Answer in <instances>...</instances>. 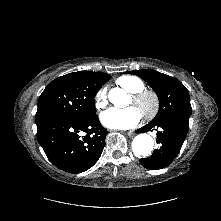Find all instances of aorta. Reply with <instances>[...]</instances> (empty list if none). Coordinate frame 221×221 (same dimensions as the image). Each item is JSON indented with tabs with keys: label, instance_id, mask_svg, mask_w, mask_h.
<instances>
[{
	"label": "aorta",
	"instance_id": "762f6f07",
	"mask_svg": "<svg viewBox=\"0 0 221 221\" xmlns=\"http://www.w3.org/2000/svg\"><path fill=\"white\" fill-rule=\"evenodd\" d=\"M127 93L120 88H113L109 92V100L116 106L124 105ZM154 147V140L148 134H139L132 141V150L136 156L148 157Z\"/></svg>",
	"mask_w": 221,
	"mask_h": 221
}]
</instances>
